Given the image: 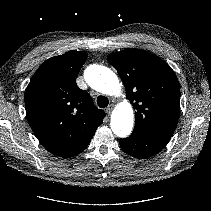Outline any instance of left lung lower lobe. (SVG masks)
Here are the masks:
<instances>
[{
  "mask_svg": "<svg viewBox=\"0 0 211 211\" xmlns=\"http://www.w3.org/2000/svg\"><path fill=\"white\" fill-rule=\"evenodd\" d=\"M169 136H153L132 133L125 139H120L122 150L135 158H148L160 152L169 142Z\"/></svg>",
  "mask_w": 211,
  "mask_h": 211,
  "instance_id": "left-lung-lower-lobe-1",
  "label": "left lung lower lobe"
}]
</instances>
